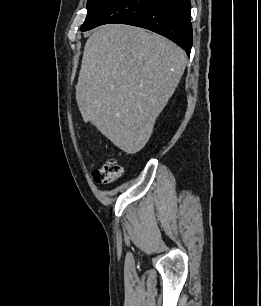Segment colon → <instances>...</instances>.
<instances>
[{
    "instance_id": "colon-1",
    "label": "colon",
    "mask_w": 261,
    "mask_h": 306,
    "mask_svg": "<svg viewBox=\"0 0 261 306\" xmlns=\"http://www.w3.org/2000/svg\"><path fill=\"white\" fill-rule=\"evenodd\" d=\"M122 174V167L115 160L107 161L102 167L93 171V178L97 183L107 184Z\"/></svg>"
}]
</instances>
